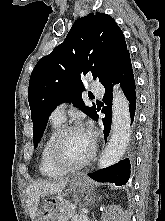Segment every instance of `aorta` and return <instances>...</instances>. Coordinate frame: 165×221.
I'll return each instance as SVG.
<instances>
[{
	"instance_id": "aorta-1",
	"label": "aorta",
	"mask_w": 165,
	"mask_h": 221,
	"mask_svg": "<svg viewBox=\"0 0 165 221\" xmlns=\"http://www.w3.org/2000/svg\"><path fill=\"white\" fill-rule=\"evenodd\" d=\"M112 111V135L99 159V168H106L116 163L124 154L130 139L129 103L119 86H115L113 90ZM77 221H89L87 214L84 211L80 212Z\"/></svg>"
}]
</instances>
